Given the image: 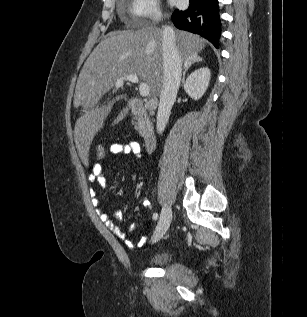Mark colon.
I'll list each match as a JSON object with an SVG mask.
<instances>
[{
	"mask_svg": "<svg viewBox=\"0 0 307 317\" xmlns=\"http://www.w3.org/2000/svg\"><path fill=\"white\" fill-rule=\"evenodd\" d=\"M110 152V147L106 146H98L96 148L95 157L97 161L100 163L107 158L108 153Z\"/></svg>",
	"mask_w": 307,
	"mask_h": 317,
	"instance_id": "5ec220e1",
	"label": "colon"
}]
</instances>
